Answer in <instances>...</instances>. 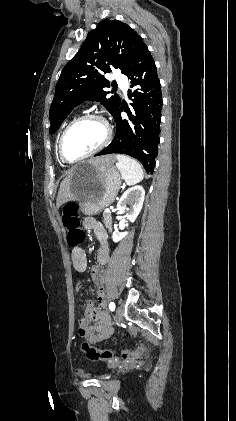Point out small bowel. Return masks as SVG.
I'll list each match as a JSON object with an SVG mask.
<instances>
[{"label":"small bowel","mask_w":236,"mask_h":421,"mask_svg":"<svg viewBox=\"0 0 236 421\" xmlns=\"http://www.w3.org/2000/svg\"><path fill=\"white\" fill-rule=\"evenodd\" d=\"M83 227L87 230H92L100 241L104 242L106 240L107 233L103 225L99 221H97L95 218H92V217L85 218L83 221ZM76 264L80 269H85L86 267V258L82 250L78 252V256L76 258ZM99 317H100V322L102 324V337L96 338L93 336H88V338L92 342H99L101 340H104L108 338L113 332L112 326L109 320L107 319L106 315L100 314ZM83 324L84 322H81V325Z\"/></svg>","instance_id":"c3829d8e"}]
</instances>
